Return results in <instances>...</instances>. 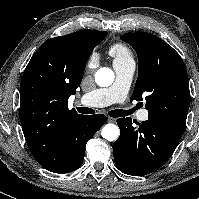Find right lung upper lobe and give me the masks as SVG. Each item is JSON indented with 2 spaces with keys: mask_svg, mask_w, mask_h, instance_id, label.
Listing matches in <instances>:
<instances>
[{
  "mask_svg": "<svg viewBox=\"0 0 199 199\" xmlns=\"http://www.w3.org/2000/svg\"><path fill=\"white\" fill-rule=\"evenodd\" d=\"M106 35L80 30L50 38L34 53L20 84L19 117L25 138L44 145L81 116L68 109V98L80 86L93 48Z\"/></svg>",
  "mask_w": 199,
  "mask_h": 199,
  "instance_id": "obj_1",
  "label": "right lung upper lobe"
}]
</instances>
